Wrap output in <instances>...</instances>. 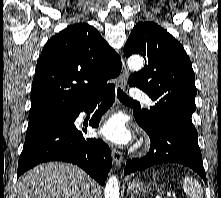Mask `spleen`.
<instances>
[{"label": "spleen", "instance_id": "obj_1", "mask_svg": "<svg viewBox=\"0 0 221 198\" xmlns=\"http://www.w3.org/2000/svg\"><path fill=\"white\" fill-rule=\"evenodd\" d=\"M183 190L190 198H203L201 185L192 177L186 176L183 180Z\"/></svg>", "mask_w": 221, "mask_h": 198}]
</instances>
